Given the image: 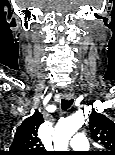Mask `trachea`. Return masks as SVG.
Listing matches in <instances>:
<instances>
[{"label": "trachea", "instance_id": "3493384b", "mask_svg": "<svg viewBox=\"0 0 115 155\" xmlns=\"http://www.w3.org/2000/svg\"><path fill=\"white\" fill-rule=\"evenodd\" d=\"M72 103H73V99H70V100L62 99V101H61V108H62V110L65 111L68 108H70Z\"/></svg>", "mask_w": 115, "mask_h": 155}]
</instances>
